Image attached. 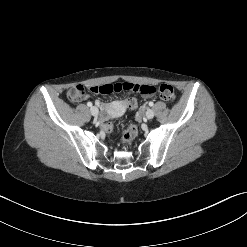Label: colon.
<instances>
[{"label":"colon","instance_id":"obj_1","mask_svg":"<svg viewBox=\"0 0 247 247\" xmlns=\"http://www.w3.org/2000/svg\"><path fill=\"white\" fill-rule=\"evenodd\" d=\"M89 90L92 93L96 94H111L113 92L133 90L137 94L141 95L143 98H156L159 95L162 100L170 103L174 102L176 99L174 88L169 84H160L158 87H156L155 85L150 86L149 84L138 85L137 83H114L91 86ZM82 95H84V87L82 85L75 86L69 92V97L71 99ZM137 104V100L129 96L124 102V107L127 110H130L131 108L135 110L138 107ZM102 127L106 132H111L114 128V125L111 121H106L103 123ZM137 134L138 127L136 125H131L130 127H128L123 135L124 143L131 144L136 138Z\"/></svg>","mask_w":247,"mask_h":247}]
</instances>
